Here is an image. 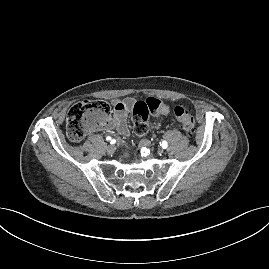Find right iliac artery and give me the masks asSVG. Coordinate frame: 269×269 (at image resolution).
<instances>
[{"mask_svg": "<svg viewBox=\"0 0 269 269\" xmlns=\"http://www.w3.org/2000/svg\"><path fill=\"white\" fill-rule=\"evenodd\" d=\"M106 140L109 141L111 144H113L115 142L114 139H112L110 136H108L106 138Z\"/></svg>", "mask_w": 269, "mask_h": 269, "instance_id": "1", "label": "right iliac artery"}]
</instances>
